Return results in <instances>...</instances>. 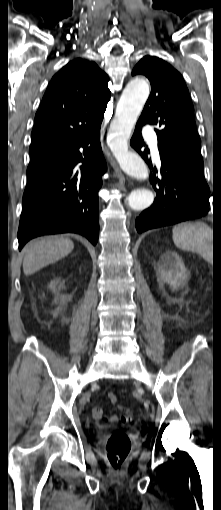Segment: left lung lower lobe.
Wrapping results in <instances>:
<instances>
[{
	"label": "left lung lower lobe",
	"instance_id": "1",
	"mask_svg": "<svg viewBox=\"0 0 221 510\" xmlns=\"http://www.w3.org/2000/svg\"><path fill=\"white\" fill-rule=\"evenodd\" d=\"M143 122L138 121L131 138V146L151 167L152 162L143 150L145 143L141 135ZM161 159V177L151 176V183L157 193L152 206L136 218L139 233L200 218L209 212L210 189L204 178L203 163H199L158 142Z\"/></svg>",
	"mask_w": 221,
	"mask_h": 510
}]
</instances>
